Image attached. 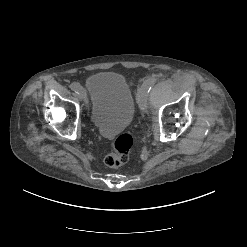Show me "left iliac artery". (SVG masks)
Here are the masks:
<instances>
[{
	"mask_svg": "<svg viewBox=\"0 0 247 247\" xmlns=\"http://www.w3.org/2000/svg\"><path fill=\"white\" fill-rule=\"evenodd\" d=\"M155 83L156 78L152 77L150 79H147L142 86L147 90V92H149Z\"/></svg>",
	"mask_w": 247,
	"mask_h": 247,
	"instance_id": "44dca946",
	"label": "left iliac artery"
}]
</instances>
